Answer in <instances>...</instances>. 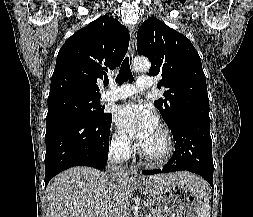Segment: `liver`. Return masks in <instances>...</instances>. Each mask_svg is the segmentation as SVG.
Masks as SVG:
<instances>
[{
	"mask_svg": "<svg viewBox=\"0 0 253 217\" xmlns=\"http://www.w3.org/2000/svg\"><path fill=\"white\" fill-rule=\"evenodd\" d=\"M166 180L202 191L207 185L190 172L147 178L151 186H158ZM111 188L110 178L104 172L85 166L70 168L52 179L47 186L51 217H124L133 194L132 181L128 177L123 180L120 196H113Z\"/></svg>",
	"mask_w": 253,
	"mask_h": 217,
	"instance_id": "1",
	"label": "liver"
}]
</instances>
